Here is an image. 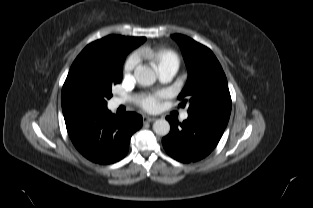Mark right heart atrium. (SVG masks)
Wrapping results in <instances>:
<instances>
[{"label": "right heart atrium", "mask_w": 313, "mask_h": 208, "mask_svg": "<svg viewBox=\"0 0 313 208\" xmlns=\"http://www.w3.org/2000/svg\"><path fill=\"white\" fill-rule=\"evenodd\" d=\"M138 63L136 55L130 56L124 64V75L129 76Z\"/></svg>", "instance_id": "1"}]
</instances>
